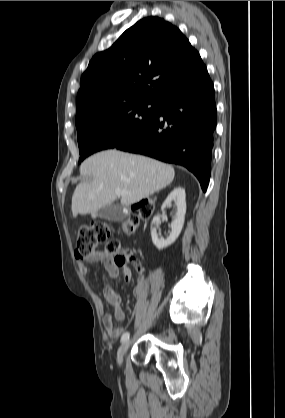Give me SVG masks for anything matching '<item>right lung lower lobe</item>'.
<instances>
[{
  "instance_id": "obj_1",
  "label": "right lung lower lobe",
  "mask_w": 285,
  "mask_h": 418,
  "mask_svg": "<svg viewBox=\"0 0 285 418\" xmlns=\"http://www.w3.org/2000/svg\"><path fill=\"white\" fill-rule=\"evenodd\" d=\"M216 124L214 86L206 72L163 99L151 123L115 148L182 165L195 174L205 192Z\"/></svg>"
}]
</instances>
